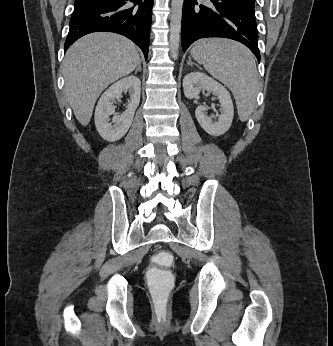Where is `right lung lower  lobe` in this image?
<instances>
[{
  "instance_id": "obj_1",
  "label": "right lung lower lobe",
  "mask_w": 333,
  "mask_h": 346,
  "mask_svg": "<svg viewBox=\"0 0 333 346\" xmlns=\"http://www.w3.org/2000/svg\"><path fill=\"white\" fill-rule=\"evenodd\" d=\"M153 0H75L64 52L80 37L98 31L126 36L148 56Z\"/></svg>"
}]
</instances>
